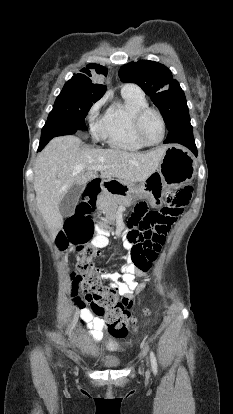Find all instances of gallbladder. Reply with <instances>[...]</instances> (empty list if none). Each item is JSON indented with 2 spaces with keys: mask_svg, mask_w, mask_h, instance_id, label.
Returning <instances> with one entry per match:
<instances>
[{
  "mask_svg": "<svg viewBox=\"0 0 233 414\" xmlns=\"http://www.w3.org/2000/svg\"><path fill=\"white\" fill-rule=\"evenodd\" d=\"M79 186H72L60 203V212L62 216L70 215L78 202Z\"/></svg>",
  "mask_w": 233,
  "mask_h": 414,
  "instance_id": "gallbladder-1",
  "label": "gallbladder"
}]
</instances>
